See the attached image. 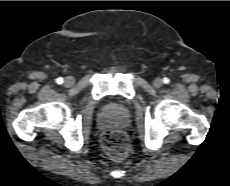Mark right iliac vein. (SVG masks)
Listing matches in <instances>:
<instances>
[{
	"mask_svg": "<svg viewBox=\"0 0 230 186\" xmlns=\"http://www.w3.org/2000/svg\"><path fill=\"white\" fill-rule=\"evenodd\" d=\"M75 80L73 77L69 76L65 79L64 84L66 87H71L74 84Z\"/></svg>",
	"mask_w": 230,
	"mask_h": 186,
	"instance_id": "1",
	"label": "right iliac vein"
}]
</instances>
